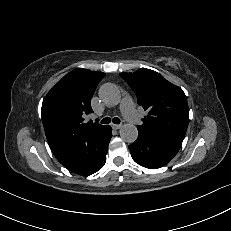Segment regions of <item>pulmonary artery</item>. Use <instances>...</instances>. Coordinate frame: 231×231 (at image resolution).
<instances>
[{"label":"pulmonary artery","mask_w":231,"mask_h":231,"mask_svg":"<svg viewBox=\"0 0 231 231\" xmlns=\"http://www.w3.org/2000/svg\"><path fill=\"white\" fill-rule=\"evenodd\" d=\"M120 110L130 123L137 125L141 122L140 115L137 112L133 100L130 97H124L122 99Z\"/></svg>","instance_id":"e3ab8cb5"}]
</instances>
